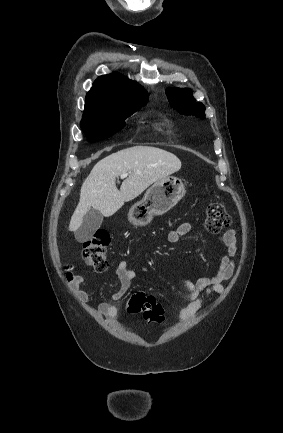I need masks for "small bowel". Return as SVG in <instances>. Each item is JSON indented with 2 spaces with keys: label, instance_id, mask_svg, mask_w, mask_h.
<instances>
[{
  "label": "small bowel",
  "instance_id": "1",
  "mask_svg": "<svg viewBox=\"0 0 283 433\" xmlns=\"http://www.w3.org/2000/svg\"><path fill=\"white\" fill-rule=\"evenodd\" d=\"M191 224L184 222L175 230L168 234V241L171 243L178 242L182 237L191 231ZM219 242L226 248V251L220 258L216 272L210 276L199 279L196 283L185 282L184 286L187 291V305L178 309L177 317L180 321L191 319L200 309L205 297L212 294H221L224 291V283L231 279L234 273V256L236 254V236L234 230H227L219 236ZM116 275L120 281L119 289L113 294V301H119L128 291L131 282L135 279L136 273L129 266V263L122 260L116 268ZM84 278L76 275L71 280V288L77 299L82 304L89 300L88 293L83 288ZM98 312L105 317H114L118 312L117 306L110 301H103L98 306Z\"/></svg>",
  "mask_w": 283,
  "mask_h": 433
}]
</instances>
